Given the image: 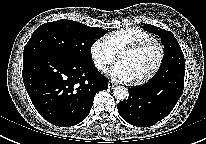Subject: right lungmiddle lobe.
Wrapping results in <instances>:
<instances>
[{
  "label": "right lung middle lobe",
  "instance_id": "1",
  "mask_svg": "<svg viewBox=\"0 0 206 144\" xmlns=\"http://www.w3.org/2000/svg\"><path fill=\"white\" fill-rule=\"evenodd\" d=\"M104 34V29L66 19L44 23L32 34L24 48L23 56L46 53L89 62L92 44Z\"/></svg>",
  "mask_w": 206,
  "mask_h": 144
}]
</instances>
